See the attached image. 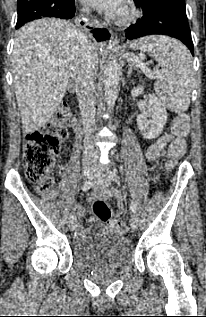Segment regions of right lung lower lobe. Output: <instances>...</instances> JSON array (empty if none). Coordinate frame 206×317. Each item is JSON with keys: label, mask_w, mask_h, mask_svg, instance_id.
<instances>
[{"label": "right lung lower lobe", "mask_w": 206, "mask_h": 317, "mask_svg": "<svg viewBox=\"0 0 206 317\" xmlns=\"http://www.w3.org/2000/svg\"><path fill=\"white\" fill-rule=\"evenodd\" d=\"M58 16L59 18H63V19H69L72 18L75 14V2L74 0H72L69 4H65L63 6H61L58 10H57Z\"/></svg>", "instance_id": "right-lung-lower-lobe-1"}]
</instances>
